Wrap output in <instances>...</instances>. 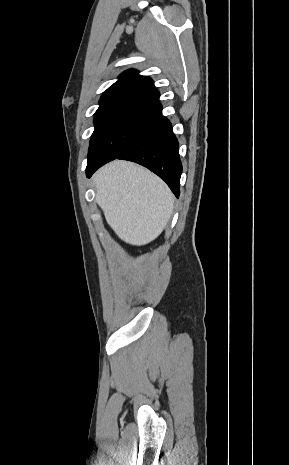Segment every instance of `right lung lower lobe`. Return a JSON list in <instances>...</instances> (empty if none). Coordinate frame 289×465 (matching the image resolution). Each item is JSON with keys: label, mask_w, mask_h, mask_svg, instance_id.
<instances>
[{"label": "right lung lower lobe", "mask_w": 289, "mask_h": 465, "mask_svg": "<svg viewBox=\"0 0 289 465\" xmlns=\"http://www.w3.org/2000/svg\"><path fill=\"white\" fill-rule=\"evenodd\" d=\"M178 148L179 144L170 121L161 116L135 143L115 159L129 160L147 167L161 177L178 198L182 173ZM107 162L109 161H88L87 177Z\"/></svg>", "instance_id": "obj_1"}]
</instances>
